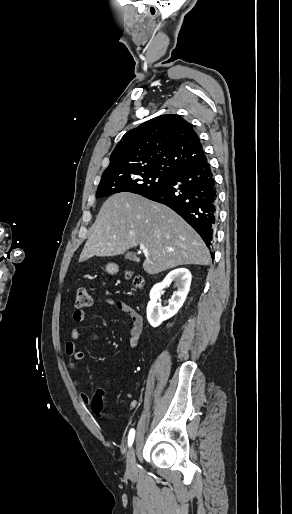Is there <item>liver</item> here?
Here are the masks:
<instances>
[{
	"instance_id": "obj_1",
	"label": "liver",
	"mask_w": 292,
	"mask_h": 514,
	"mask_svg": "<svg viewBox=\"0 0 292 514\" xmlns=\"http://www.w3.org/2000/svg\"><path fill=\"white\" fill-rule=\"evenodd\" d=\"M139 244L149 252L143 264L147 274L184 264H210L206 244L181 216L130 192L114 194L104 202L79 262L92 256H119Z\"/></svg>"
}]
</instances>
